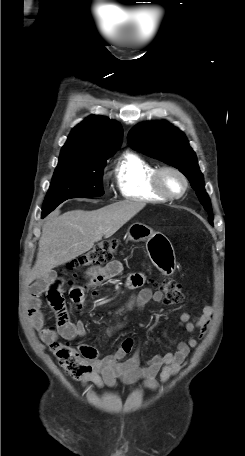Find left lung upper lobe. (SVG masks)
<instances>
[{
  "label": "left lung upper lobe",
  "mask_w": 245,
  "mask_h": 456,
  "mask_svg": "<svg viewBox=\"0 0 245 456\" xmlns=\"http://www.w3.org/2000/svg\"><path fill=\"white\" fill-rule=\"evenodd\" d=\"M127 140L131 148L178 168L190 181L213 225L211 203L204 189L197 157L178 128L167 122L141 123L130 130Z\"/></svg>",
  "instance_id": "1"
}]
</instances>
